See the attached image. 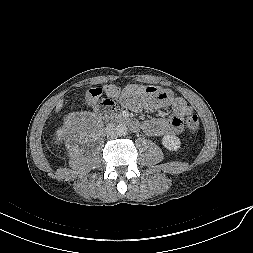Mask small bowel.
I'll return each instance as SVG.
<instances>
[{
	"label": "small bowel",
	"instance_id": "small-bowel-1",
	"mask_svg": "<svg viewBox=\"0 0 253 253\" xmlns=\"http://www.w3.org/2000/svg\"><path fill=\"white\" fill-rule=\"evenodd\" d=\"M101 103L105 107L112 108L115 111H120L122 105L124 108L134 111H140L142 109L157 110L164 107H171L172 114L170 118H153L141 125V128L146 134L155 137L180 133L183 130L184 118L192 112L184 99L174 96L170 91L164 89L161 90L160 95H145L122 99V104L119 100L103 96Z\"/></svg>",
	"mask_w": 253,
	"mask_h": 253
}]
</instances>
